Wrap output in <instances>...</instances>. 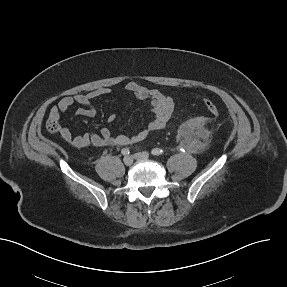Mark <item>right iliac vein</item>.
Masks as SVG:
<instances>
[{"instance_id":"1","label":"right iliac vein","mask_w":287,"mask_h":287,"mask_svg":"<svg viewBox=\"0 0 287 287\" xmlns=\"http://www.w3.org/2000/svg\"><path fill=\"white\" fill-rule=\"evenodd\" d=\"M123 162L126 166H130L133 163V158L131 156H125Z\"/></svg>"}]
</instances>
